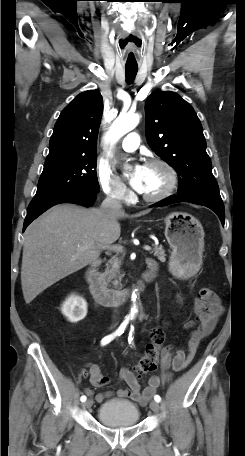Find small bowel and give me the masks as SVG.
<instances>
[{"mask_svg": "<svg viewBox=\"0 0 245 456\" xmlns=\"http://www.w3.org/2000/svg\"><path fill=\"white\" fill-rule=\"evenodd\" d=\"M196 318L185 325L189 330L185 349H176L169 345L162 350L161 367L164 369L172 368L173 371H181L194 358L200 342L214 330L218 318L223 312V306L218 295L209 288H203L198 292L194 301ZM90 383L95 387L105 386L109 383V378L101 373L97 364L89 365ZM120 380L124 381L127 389H118L115 394L118 397L130 398L131 400L145 405L152 395L156 392L162 382L169 378V374L163 377L153 375L149 378L148 385L141 390L140 385L130 368H122L119 373ZM87 395L93 396L92 390H86ZM111 396L110 392H100L95 395L97 402H103Z\"/></svg>", "mask_w": 245, "mask_h": 456, "instance_id": "1", "label": "small bowel"}]
</instances>
